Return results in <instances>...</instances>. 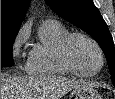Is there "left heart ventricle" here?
Returning <instances> with one entry per match:
<instances>
[{
    "mask_svg": "<svg viewBox=\"0 0 115 99\" xmlns=\"http://www.w3.org/2000/svg\"><path fill=\"white\" fill-rule=\"evenodd\" d=\"M69 54L75 66L82 71L93 72L100 65L96 48L85 39H74L70 44Z\"/></svg>",
    "mask_w": 115,
    "mask_h": 99,
    "instance_id": "b2bd125f",
    "label": "left heart ventricle"
}]
</instances>
